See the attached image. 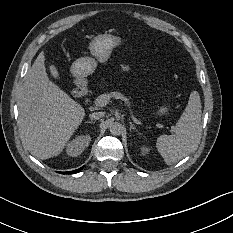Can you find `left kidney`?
<instances>
[{
  "label": "left kidney",
  "instance_id": "obj_1",
  "mask_svg": "<svg viewBox=\"0 0 233 233\" xmlns=\"http://www.w3.org/2000/svg\"><path fill=\"white\" fill-rule=\"evenodd\" d=\"M140 149H141L142 155H146V154H148L150 152V148L145 146V145L141 146Z\"/></svg>",
  "mask_w": 233,
  "mask_h": 233
}]
</instances>
